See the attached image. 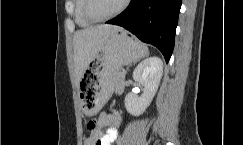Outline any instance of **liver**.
Masks as SVG:
<instances>
[{
  "mask_svg": "<svg viewBox=\"0 0 243 145\" xmlns=\"http://www.w3.org/2000/svg\"><path fill=\"white\" fill-rule=\"evenodd\" d=\"M120 31H123V28L116 25H97L75 32L73 45L77 85H79L89 64L99 55L107 39Z\"/></svg>",
  "mask_w": 243,
  "mask_h": 145,
  "instance_id": "1",
  "label": "liver"
}]
</instances>
